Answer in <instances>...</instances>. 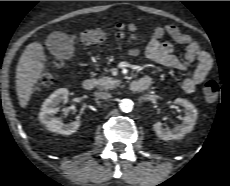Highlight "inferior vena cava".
Segmentation results:
<instances>
[{
    "mask_svg": "<svg viewBox=\"0 0 230 186\" xmlns=\"http://www.w3.org/2000/svg\"><path fill=\"white\" fill-rule=\"evenodd\" d=\"M95 96L100 99H109L111 98V94L108 92H96Z\"/></svg>",
    "mask_w": 230,
    "mask_h": 186,
    "instance_id": "inferior-vena-cava-1",
    "label": "inferior vena cava"
}]
</instances>
